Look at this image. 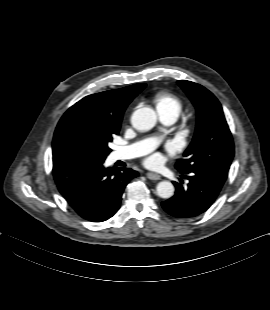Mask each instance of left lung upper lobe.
<instances>
[{"label": "left lung upper lobe", "instance_id": "left-lung-upper-lobe-1", "mask_svg": "<svg viewBox=\"0 0 270 310\" xmlns=\"http://www.w3.org/2000/svg\"><path fill=\"white\" fill-rule=\"evenodd\" d=\"M178 84L196 107L197 126L193 141L184 152L185 159L176 163V169L187 172L200 168L227 176L234 145L221 104L199 84L186 80H179Z\"/></svg>", "mask_w": 270, "mask_h": 310}]
</instances>
